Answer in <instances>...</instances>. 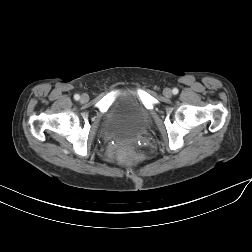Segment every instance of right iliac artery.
<instances>
[{
    "label": "right iliac artery",
    "mask_w": 252,
    "mask_h": 252,
    "mask_svg": "<svg viewBox=\"0 0 252 252\" xmlns=\"http://www.w3.org/2000/svg\"><path fill=\"white\" fill-rule=\"evenodd\" d=\"M74 99H75V100H79V99H80V96H79L78 94H75V95H74Z\"/></svg>",
    "instance_id": "obj_1"
}]
</instances>
